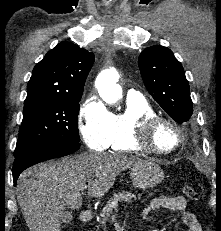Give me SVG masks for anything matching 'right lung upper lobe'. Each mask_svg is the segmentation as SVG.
Here are the masks:
<instances>
[{"instance_id":"right-lung-upper-lobe-1","label":"right lung upper lobe","mask_w":221,"mask_h":231,"mask_svg":"<svg viewBox=\"0 0 221 231\" xmlns=\"http://www.w3.org/2000/svg\"><path fill=\"white\" fill-rule=\"evenodd\" d=\"M94 59L93 53L75 44L59 43L35 65L25 102L81 97Z\"/></svg>"}]
</instances>
